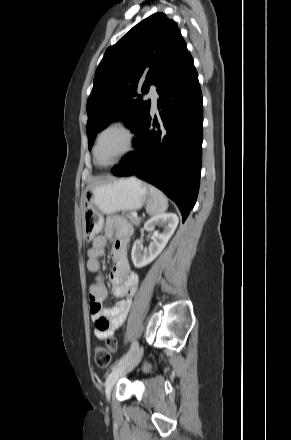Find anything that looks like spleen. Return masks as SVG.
<instances>
[{
  "label": "spleen",
  "instance_id": "1",
  "mask_svg": "<svg viewBox=\"0 0 291 440\" xmlns=\"http://www.w3.org/2000/svg\"><path fill=\"white\" fill-rule=\"evenodd\" d=\"M150 199L146 205V212L149 215H157L167 210L168 199L167 197L156 187L150 185Z\"/></svg>",
  "mask_w": 291,
  "mask_h": 440
}]
</instances>
